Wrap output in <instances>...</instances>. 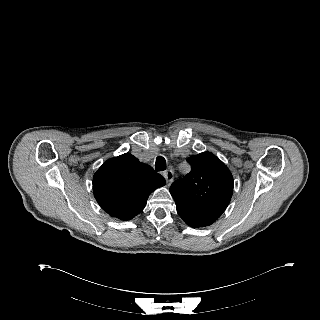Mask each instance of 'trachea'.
I'll list each match as a JSON object with an SVG mask.
<instances>
[{"label":"trachea","mask_w":320,"mask_h":320,"mask_svg":"<svg viewBox=\"0 0 320 320\" xmlns=\"http://www.w3.org/2000/svg\"><path fill=\"white\" fill-rule=\"evenodd\" d=\"M156 171H164L166 169V160L162 156H158L155 162Z\"/></svg>","instance_id":"1"}]
</instances>
